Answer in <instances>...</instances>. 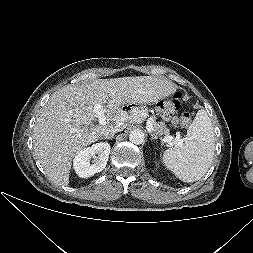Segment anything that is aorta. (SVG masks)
<instances>
[{
    "label": "aorta",
    "mask_w": 253,
    "mask_h": 253,
    "mask_svg": "<svg viewBox=\"0 0 253 253\" xmlns=\"http://www.w3.org/2000/svg\"><path fill=\"white\" fill-rule=\"evenodd\" d=\"M144 139H145V136H144L143 131L141 130H133L131 131L129 135L130 142L136 145L142 144L144 142Z\"/></svg>",
    "instance_id": "762f6f07"
}]
</instances>
